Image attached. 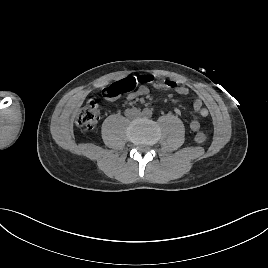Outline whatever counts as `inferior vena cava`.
Returning <instances> with one entry per match:
<instances>
[{
    "label": "inferior vena cava",
    "mask_w": 268,
    "mask_h": 268,
    "mask_svg": "<svg viewBox=\"0 0 268 268\" xmlns=\"http://www.w3.org/2000/svg\"><path fill=\"white\" fill-rule=\"evenodd\" d=\"M130 114H133V116H131ZM127 115L132 118H138L140 116V112L138 110H129L127 112Z\"/></svg>",
    "instance_id": "obj_1"
}]
</instances>
